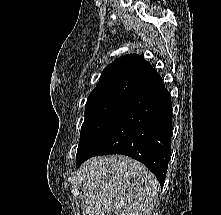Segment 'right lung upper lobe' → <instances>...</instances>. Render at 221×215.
Listing matches in <instances>:
<instances>
[{
  "label": "right lung upper lobe",
  "mask_w": 221,
  "mask_h": 215,
  "mask_svg": "<svg viewBox=\"0 0 221 215\" xmlns=\"http://www.w3.org/2000/svg\"><path fill=\"white\" fill-rule=\"evenodd\" d=\"M161 81L149 62L138 54H127L103 70L87 103L116 98L133 100Z\"/></svg>",
  "instance_id": "1"
}]
</instances>
